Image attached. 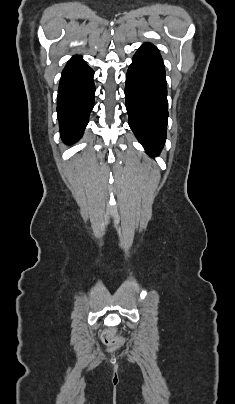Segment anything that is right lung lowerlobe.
<instances>
[{
	"label": "right lung lower lobe",
	"mask_w": 235,
	"mask_h": 404,
	"mask_svg": "<svg viewBox=\"0 0 235 404\" xmlns=\"http://www.w3.org/2000/svg\"><path fill=\"white\" fill-rule=\"evenodd\" d=\"M94 72L75 56L62 71L58 97L57 115L63 141L72 144L78 141L88 123L94 106Z\"/></svg>",
	"instance_id": "obj_1"
}]
</instances>
